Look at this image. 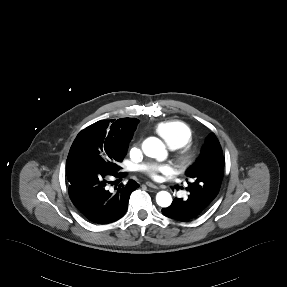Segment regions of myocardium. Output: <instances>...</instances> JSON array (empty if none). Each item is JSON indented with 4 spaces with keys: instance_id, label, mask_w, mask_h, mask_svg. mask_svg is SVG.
Returning a JSON list of instances; mask_svg holds the SVG:
<instances>
[{
    "instance_id": "obj_1",
    "label": "myocardium",
    "mask_w": 287,
    "mask_h": 287,
    "mask_svg": "<svg viewBox=\"0 0 287 287\" xmlns=\"http://www.w3.org/2000/svg\"><path fill=\"white\" fill-rule=\"evenodd\" d=\"M195 151L190 146H184L177 153V162L181 168L189 167L195 160Z\"/></svg>"
}]
</instances>
